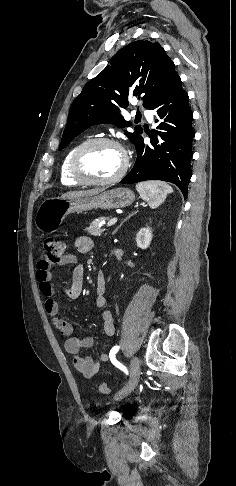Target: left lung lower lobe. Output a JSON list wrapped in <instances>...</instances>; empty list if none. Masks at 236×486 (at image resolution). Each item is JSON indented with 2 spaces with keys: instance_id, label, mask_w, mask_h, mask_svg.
I'll return each instance as SVG.
<instances>
[{
  "instance_id": "left-lung-lower-lobe-1",
  "label": "left lung lower lobe",
  "mask_w": 236,
  "mask_h": 486,
  "mask_svg": "<svg viewBox=\"0 0 236 486\" xmlns=\"http://www.w3.org/2000/svg\"><path fill=\"white\" fill-rule=\"evenodd\" d=\"M188 101V94L183 90L178 76L152 102L148 109L155 110L158 118L164 122L158 125L157 131L152 132L150 146L144 144L142 137L136 142L135 165L120 183L167 181L176 184L186 198L191 178L192 141L195 137L192 128L193 112ZM156 135L164 143L158 144Z\"/></svg>"
}]
</instances>
